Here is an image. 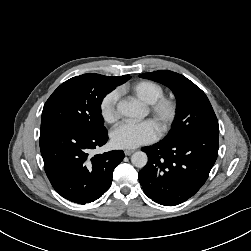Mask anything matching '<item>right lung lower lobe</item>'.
<instances>
[{
    "label": "right lung lower lobe",
    "instance_id": "1",
    "mask_svg": "<svg viewBox=\"0 0 251 251\" xmlns=\"http://www.w3.org/2000/svg\"><path fill=\"white\" fill-rule=\"evenodd\" d=\"M107 139V130L86 131L66 124L40 129L44 169L62 197L85 204L100 198L110 188L113 171L125 156L123 151L89 156L90 150L104 145Z\"/></svg>",
    "mask_w": 251,
    "mask_h": 251
}]
</instances>
